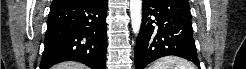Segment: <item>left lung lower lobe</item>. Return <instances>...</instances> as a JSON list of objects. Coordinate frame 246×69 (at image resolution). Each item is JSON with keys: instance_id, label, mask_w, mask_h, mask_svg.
Segmentation results:
<instances>
[{"instance_id": "0a47b994", "label": "left lung lower lobe", "mask_w": 246, "mask_h": 69, "mask_svg": "<svg viewBox=\"0 0 246 69\" xmlns=\"http://www.w3.org/2000/svg\"><path fill=\"white\" fill-rule=\"evenodd\" d=\"M142 24L135 50V69L169 55L180 56L199 67L192 23L162 11L153 0H143ZM155 24V25H154Z\"/></svg>"}]
</instances>
